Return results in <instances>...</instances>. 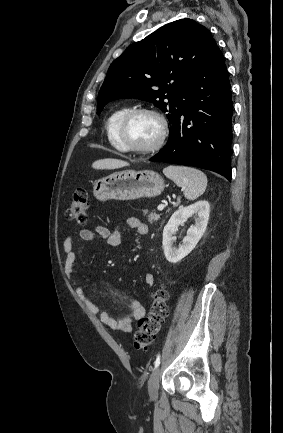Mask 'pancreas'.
<instances>
[{
  "mask_svg": "<svg viewBox=\"0 0 283 433\" xmlns=\"http://www.w3.org/2000/svg\"><path fill=\"white\" fill-rule=\"evenodd\" d=\"M143 212H144V217L145 214H147L149 223H156V221H159L160 219V214H156V212H150V214H148L147 208L146 210H143Z\"/></svg>",
  "mask_w": 283,
  "mask_h": 433,
  "instance_id": "cf45deb5",
  "label": "pancreas"
}]
</instances>
